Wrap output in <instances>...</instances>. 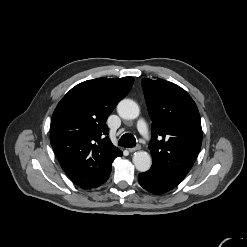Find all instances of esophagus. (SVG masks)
<instances>
[{"mask_svg": "<svg viewBox=\"0 0 247 247\" xmlns=\"http://www.w3.org/2000/svg\"><path fill=\"white\" fill-rule=\"evenodd\" d=\"M139 149H140V146L138 145V146L133 147V148H128V151H129V152H135V151H137V150H139Z\"/></svg>", "mask_w": 247, "mask_h": 247, "instance_id": "34e87169", "label": "esophagus"}]
</instances>
